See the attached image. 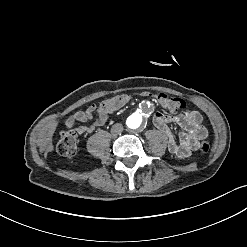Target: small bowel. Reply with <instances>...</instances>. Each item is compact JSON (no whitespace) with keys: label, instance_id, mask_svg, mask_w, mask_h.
<instances>
[{"label":"small bowel","instance_id":"c3829d8e","mask_svg":"<svg viewBox=\"0 0 247 247\" xmlns=\"http://www.w3.org/2000/svg\"><path fill=\"white\" fill-rule=\"evenodd\" d=\"M117 97V96H116ZM95 117L91 126L80 125ZM108 120V111L101 105H91L85 110H79L65 120V127L78 135L93 132L103 126ZM202 116L196 110H187L179 114L157 112L153 116L154 126L164 133L168 141V150L179 158H188L200 147V142L206 137V129L201 125ZM177 124L183 131L178 135L169 128V124Z\"/></svg>","mask_w":247,"mask_h":247}]
</instances>
